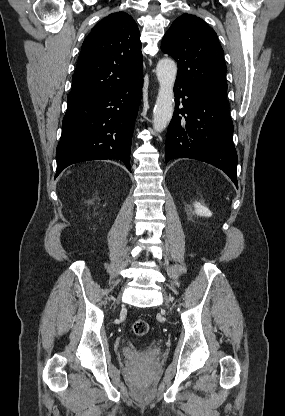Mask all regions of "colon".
I'll list each match as a JSON object with an SVG mask.
<instances>
[{"label": "colon", "mask_w": 285, "mask_h": 416, "mask_svg": "<svg viewBox=\"0 0 285 416\" xmlns=\"http://www.w3.org/2000/svg\"><path fill=\"white\" fill-rule=\"evenodd\" d=\"M132 331L137 336H144L149 332V324L143 319L135 320L132 324ZM149 387L145 384L139 387V395L142 399H146L148 396Z\"/></svg>", "instance_id": "5ec220e1"}]
</instances>
